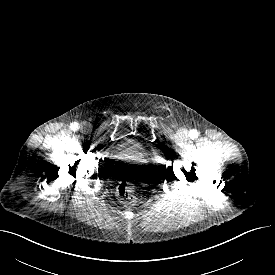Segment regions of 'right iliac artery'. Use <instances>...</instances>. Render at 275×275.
Masks as SVG:
<instances>
[{
	"mask_svg": "<svg viewBox=\"0 0 275 275\" xmlns=\"http://www.w3.org/2000/svg\"><path fill=\"white\" fill-rule=\"evenodd\" d=\"M70 128L73 130V131H76L79 129V124L77 122H74L71 124Z\"/></svg>",
	"mask_w": 275,
	"mask_h": 275,
	"instance_id": "1",
	"label": "right iliac artery"
}]
</instances>
